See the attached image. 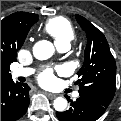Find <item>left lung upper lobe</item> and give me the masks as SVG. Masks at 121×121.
Returning <instances> with one entry per match:
<instances>
[{"label": "left lung upper lobe", "mask_w": 121, "mask_h": 121, "mask_svg": "<svg viewBox=\"0 0 121 121\" xmlns=\"http://www.w3.org/2000/svg\"><path fill=\"white\" fill-rule=\"evenodd\" d=\"M87 35L84 63L77 73L79 95L108 107L115 94L116 63L104 34L80 15H75Z\"/></svg>", "instance_id": "5c2ea615"}]
</instances>
